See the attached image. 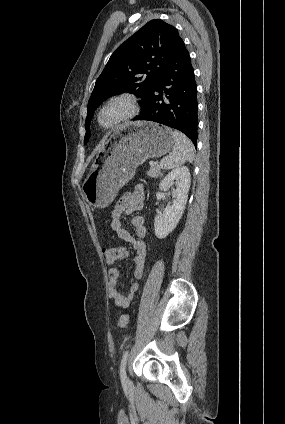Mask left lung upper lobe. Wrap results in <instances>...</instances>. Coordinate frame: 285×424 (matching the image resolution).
<instances>
[{
	"instance_id": "obj_1",
	"label": "left lung upper lobe",
	"mask_w": 285,
	"mask_h": 424,
	"mask_svg": "<svg viewBox=\"0 0 285 424\" xmlns=\"http://www.w3.org/2000/svg\"><path fill=\"white\" fill-rule=\"evenodd\" d=\"M180 39L175 27L154 19L116 49L98 77L88 101L84 144L90 137L89 126L94 110L103 100L129 92L140 96L144 102L165 71Z\"/></svg>"
}]
</instances>
